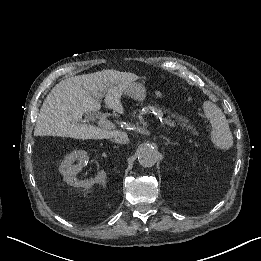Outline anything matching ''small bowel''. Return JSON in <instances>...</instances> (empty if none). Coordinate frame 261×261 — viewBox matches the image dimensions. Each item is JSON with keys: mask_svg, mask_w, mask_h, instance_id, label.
<instances>
[{"mask_svg": "<svg viewBox=\"0 0 261 261\" xmlns=\"http://www.w3.org/2000/svg\"><path fill=\"white\" fill-rule=\"evenodd\" d=\"M156 94H157L158 96H160V95H161L160 91H156Z\"/></svg>", "mask_w": 261, "mask_h": 261, "instance_id": "1", "label": "small bowel"}]
</instances>
